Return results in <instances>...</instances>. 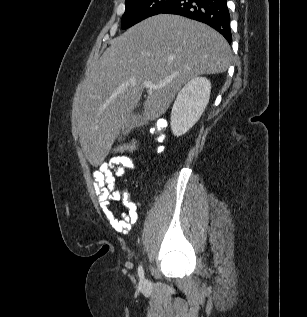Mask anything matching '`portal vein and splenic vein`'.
<instances>
[{
	"instance_id": "obj_1",
	"label": "portal vein and splenic vein",
	"mask_w": 307,
	"mask_h": 317,
	"mask_svg": "<svg viewBox=\"0 0 307 317\" xmlns=\"http://www.w3.org/2000/svg\"><path fill=\"white\" fill-rule=\"evenodd\" d=\"M165 84H154L151 81H146L144 83L145 88L152 90V89H159L161 87H163Z\"/></svg>"
}]
</instances>
